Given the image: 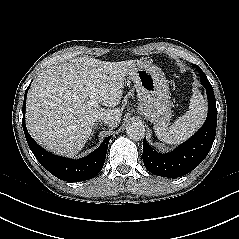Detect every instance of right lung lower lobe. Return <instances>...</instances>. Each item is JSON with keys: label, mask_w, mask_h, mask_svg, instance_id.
<instances>
[{"label": "right lung lower lobe", "mask_w": 239, "mask_h": 239, "mask_svg": "<svg viewBox=\"0 0 239 239\" xmlns=\"http://www.w3.org/2000/svg\"><path fill=\"white\" fill-rule=\"evenodd\" d=\"M29 87L24 97L22 126L29 148L36 159L52 175L64 181L79 182L95 177L104 165L111 136H108L95 151L81 159L73 160L47 152L31 138L25 125L26 96Z\"/></svg>", "instance_id": "obj_1"}]
</instances>
